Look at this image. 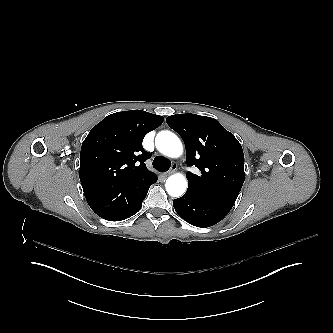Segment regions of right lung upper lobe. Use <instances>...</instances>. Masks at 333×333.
Returning a JSON list of instances; mask_svg holds the SVG:
<instances>
[{"mask_svg": "<svg viewBox=\"0 0 333 333\" xmlns=\"http://www.w3.org/2000/svg\"><path fill=\"white\" fill-rule=\"evenodd\" d=\"M162 122V116L141 110L117 112L105 117L83 141L80 181L91 176L123 180L149 172L144 162L151 153L143 149L142 141Z\"/></svg>", "mask_w": 333, "mask_h": 333, "instance_id": "cb5924a9", "label": "right lung upper lobe"}]
</instances>
